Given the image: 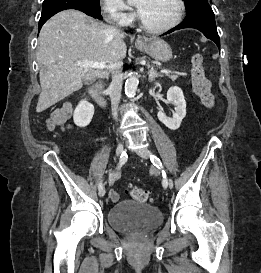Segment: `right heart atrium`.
<instances>
[{
	"mask_svg": "<svg viewBox=\"0 0 261 273\" xmlns=\"http://www.w3.org/2000/svg\"><path fill=\"white\" fill-rule=\"evenodd\" d=\"M102 10L106 18L120 26L129 25L133 13L122 0H101Z\"/></svg>",
	"mask_w": 261,
	"mask_h": 273,
	"instance_id": "obj_1",
	"label": "right heart atrium"
}]
</instances>
